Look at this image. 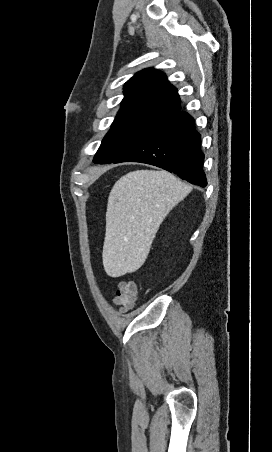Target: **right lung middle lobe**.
Masks as SVG:
<instances>
[{
	"mask_svg": "<svg viewBox=\"0 0 272 452\" xmlns=\"http://www.w3.org/2000/svg\"><path fill=\"white\" fill-rule=\"evenodd\" d=\"M159 116L152 113L117 115L111 129L102 140L94 157V163H113L148 130Z\"/></svg>",
	"mask_w": 272,
	"mask_h": 452,
	"instance_id": "dd1d6c3e",
	"label": "right lung middle lobe"
}]
</instances>
